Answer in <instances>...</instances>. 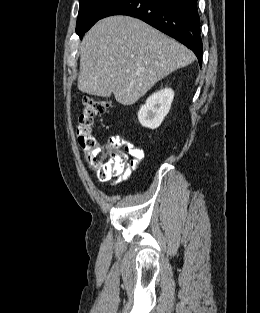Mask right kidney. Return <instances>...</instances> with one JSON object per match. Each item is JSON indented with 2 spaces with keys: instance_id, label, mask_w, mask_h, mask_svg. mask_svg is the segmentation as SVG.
Wrapping results in <instances>:
<instances>
[{
  "instance_id": "ca27d5eb",
  "label": "right kidney",
  "mask_w": 260,
  "mask_h": 313,
  "mask_svg": "<svg viewBox=\"0 0 260 313\" xmlns=\"http://www.w3.org/2000/svg\"><path fill=\"white\" fill-rule=\"evenodd\" d=\"M174 98V91L170 88L153 93L138 112V120L144 127L158 128L168 114Z\"/></svg>"
}]
</instances>
